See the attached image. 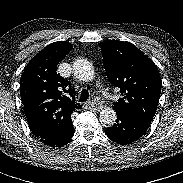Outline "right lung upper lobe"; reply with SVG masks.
Returning a JSON list of instances; mask_svg holds the SVG:
<instances>
[{
    "label": "right lung upper lobe",
    "mask_w": 183,
    "mask_h": 183,
    "mask_svg": "<svg viewBox=\"0 0 183 183\" xmlns=\"http://www.w3.org/2000/svg\"><path fill=\"white\" fill-rule=\"evenodd\" d=\"M72 45L58 41L46 46L24 68L20 94L32 133L38 139L59 138L74 131L71 115L79 112L70 82L57 74V65Z\"/></svg>",
    "instance_id": "obj_1"
}]
</instances>
